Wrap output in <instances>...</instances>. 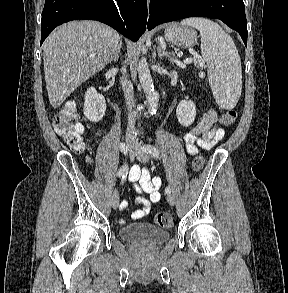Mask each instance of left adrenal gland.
Returning <instances> with one entry per match:
<instances>
[{
	"label": "left adrenal gland",
	"mask_w": 288,
	"mask_h": 293,
	"mask_svg": "<svg viewBox=\"0 0 288 293\" xmlns=\"http://www.w3.org/2000/svg\"><path fill=\"white\" fill-rule=\"evenodd\" d=\"M157 53H158V57L160 59H162L163 57L168 58L169 60H171V53H169L168 51H166L165 46L164 45H159L157 47Z\"/></svg>",
	"instance_id": "obj_1"
}]
</instances>
